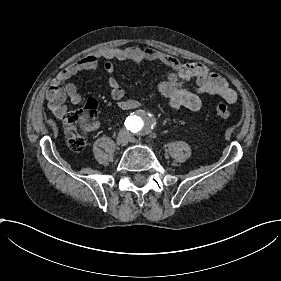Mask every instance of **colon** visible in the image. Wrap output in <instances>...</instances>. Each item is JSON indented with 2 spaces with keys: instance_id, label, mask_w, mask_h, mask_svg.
<instances>
[{
  "instance_id": "1",
  "label": "colon",
  "mask_w": 281,
  "mask_h": 281,
  "mask_svg": "<svg viewBox=\"0 0 281 281\" xmlns=\"http://www.w3.org/2000/svg\"><path fill=\"white\" fill-rule=\"evenodd\" d=\"M214 116L222 121L228 120L231 114L230 107L222 102L213 106ZM65 127L69 136V144L74 150H81L86 143L85 129L79 115L72 113L67 116Z\"/></svg>"
}]
</instances>
